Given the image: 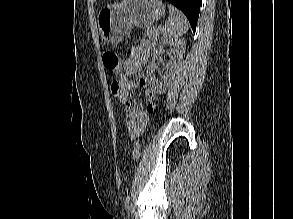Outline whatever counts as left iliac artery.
Masks as SVG:
<instances>
[{"label":"left iliac artery","mask_w":293,"mask_h":219,"mask_svg":"<svg viewBox=\"0 0 293 219\" xmlns=\"http://www.w3.org/2000/svg\"><path fill=\"white\" fill-rule=\"evenodd\" d=\"M129 201H130V196H127L125 198V208H126L127 211H129Z\"/></svg>","instance_id":"obj_1"}]
</instances>
